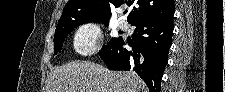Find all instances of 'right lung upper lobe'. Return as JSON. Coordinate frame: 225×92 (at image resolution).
<instances>
[{"label": "right lung upper lobe", "mask_w": 225, "mask_h": 92, "mask_svg": "<svg viewBox=\"0 0 225 92\" xmlns=\"http://www.w3.org/2000/svg\"><path fill=\"white\" fill-rule=\"evenodd\" d=\"M109 2L115 7L124 3L137 5L128 16L127 21L130 24L142 19L165 18L175 12L173 0H69L57 27L67 26L81 20L108 22L111 16Z\"/></svg>", "instance_id": "right-lung-upper-lobe-1"}]
</instances>
